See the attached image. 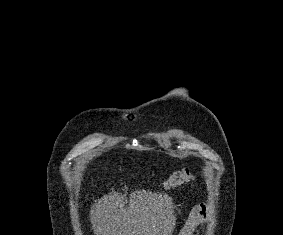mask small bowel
<instances>
[{
	"label": "small bowel",
	"instance_id": "small-bowel-1",
	"mask_svg": "<svg viewBox=\"0 0 283 235\" xmlns=\"http://www.w3.org/2000/svg\"><path fill=\"white\" fill-rule=\"evenodd\" d=\"M207 215H208V209L205 205L202 204L196 206L189 215V219L186 223V227L190 231H192L197 224L202 223L206 220ZM197 234H198L197 231L192 232V235H197Z\"/></svg>",
	"mask_w": 283,
	"mask_h": 235
}]
</instances>
